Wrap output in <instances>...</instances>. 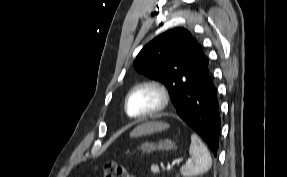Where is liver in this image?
Listing matches in <instances>:
<instances>
[{
	"label": "liver",
	"instance_id": "obj_1",
	"mask_svg": "<svg viewBox=\"0 0 287 177\" xmlns=\"http://www.w3.org/2000/svg\"><path fill=\"white\" fill-rule=\"evenodd\" d=\"M168 128H169V125L162 123V122H149V123L142 124L138 126L137 128H135L130 133V137H137V136H141L144 134L162 131Z\"/></svg>",
	"mask_w": 287,
	"mask_h": 177
}]
</instances>
